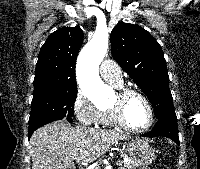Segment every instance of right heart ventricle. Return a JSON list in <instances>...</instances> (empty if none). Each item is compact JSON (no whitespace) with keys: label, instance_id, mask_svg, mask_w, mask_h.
Returning <instances> with one entry per match:
<instances>
[{"label":"right heart ventricle","instance_id":"e07e8e85","mask_svg":"<svg viewBox=\"0 0 200 169\" xmlns=\"http://www.w3.org/2000/svg\"><path fill=\"white\" fill-rule=\"evenodd\" d=\"M115 86L120 88L122 86V84L115 85ZM99 125H102V126H118L111 108H106V109L102 110Z\"/></svg>","mask_w":200,"mask_h":169}]
</instances>
